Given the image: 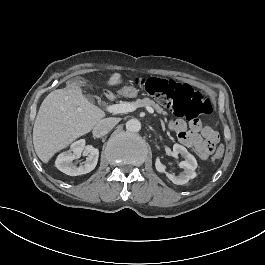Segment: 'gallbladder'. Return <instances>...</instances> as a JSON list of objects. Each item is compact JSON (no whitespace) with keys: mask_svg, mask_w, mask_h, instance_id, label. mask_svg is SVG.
Returning <instances> with one entry per match:
<instances>
[{"mask_svg":"<svg viewBox=\"0 0 265 265\" xmlns=\"http://www.w3.org/2000/svg\"><path fill=\"white\" fill-rule=\"evenodd\" d=\"M78 83H79V84H84V83H85V78H84V77H79V78H78ZM86 98H87L89 101L94 102V99H93L92 96L87 95Z\"/></svg>","mask_w":265,"mask_h":265,"instance_id":"obj_1","label":"gallbladder"}]
</instances>
